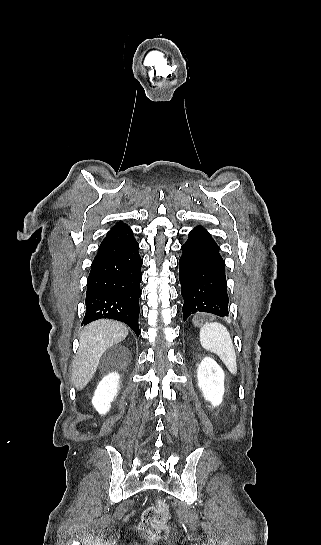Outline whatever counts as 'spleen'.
I'll return each mask as SVG.
<instances>
[{"mask_svg":"<svg viewBox=\"0 0 321 545\" xmlns=\"http://www.w3.org/2000/svg\"><path fill=\"white\" fill-rule=\"evenodd\" d=\"M199 339L203 349L218 355L228 371L232 375H236V353L230 333H228L224 325H221V323H205L200 329Z\"/></svg>","mask_w":321,"mask_h":545,"instance_id":"1","label":"spleen"}]
</instances>
